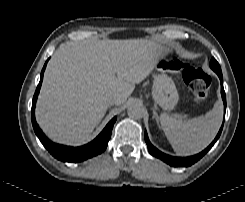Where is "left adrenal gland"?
I'll list each match as a JSON object with an SVG mask.
<instances>
[{
  "mask_svg": "<svg viewBox=\"0 0 245 202\" xmlns=\"http://www.w3.org/2000/svg\"><path fill=\"white\" fill-rule=\"evenodd\" d=\"M153 114H154L153 118H155V119H156V121H157V124H159L158 114H157V112H156V110H155V109H153Z\"/></svg>",
  "mask_w": 245,
  "mask_h": 202,
  "instance_id": "a2214340",
  "label": "left adrenal gland"
}]
</instances>
